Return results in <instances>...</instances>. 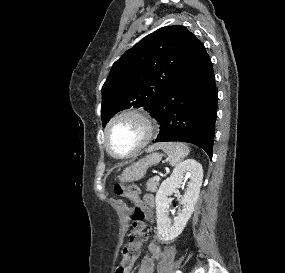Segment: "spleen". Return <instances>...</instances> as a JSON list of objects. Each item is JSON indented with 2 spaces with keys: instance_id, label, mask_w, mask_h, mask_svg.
<instances>
[{
  "instance_id": "1",
  "label": "spleen",
  "mask_w": 285,
  "mask_h": 273,
  "mask_svg": "<svg viewBox=\"0 0 285 273\" xmlns=\"http://www.w3.org/2000/svg\"><path fill=\"white\" fill-rule=\"evenodd\" d=\"M161 149L167 155L169 163L172 166H177L181 161L189 154L190 150L188 146L181 142H162L155 144L148 149V151Z\"/></svg>"
}]
</instances>
